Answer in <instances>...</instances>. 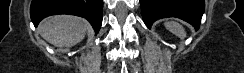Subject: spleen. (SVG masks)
<instances>
[{"label": "spleen", "instance_id": "spleen-1", "mask_svg": "<svg viewBox=\"0 0 244 73\" xmlns=\"http://www.w3.org/2000/svg\"><path fill=\"white\" fill-rule=\"evenodd\" d=\"M164 25L166 29H168L171 33H173L177 37L181 39H184L186 37L185 29L179 23L171 21V22H166Z\"/></svg>", "mask_w": 244, "mask_h": 73}]
</instances>
